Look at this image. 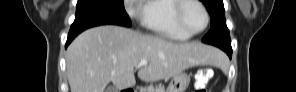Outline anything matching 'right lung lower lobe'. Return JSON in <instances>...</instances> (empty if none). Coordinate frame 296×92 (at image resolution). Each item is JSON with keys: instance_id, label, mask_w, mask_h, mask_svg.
<instances>
[{"instance_id": "98d812e1", "label": "right lung lower lobe", "mask_w": 296, "mask_h": 92, "mask_svg": "<svg viewBox=\"0 0 296 92\" xmlns=\"http://www.w3.org/2000/svg\"><path fill=\"white\" fill-rule=\"evenodd\" d=\"M94 26H98V25H94V24H85V25H79V26H71L69 34H68V39L66 42L65 47L68 46V44L82 31H84L87 28L90 27H94Z\"/></svg>"}]
</instances>
